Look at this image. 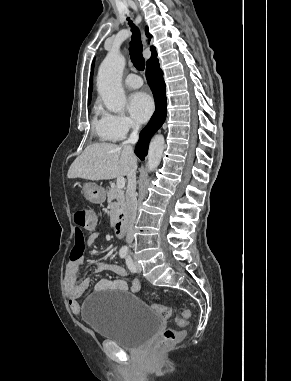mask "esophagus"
I'll list each match as a JSON object with an SVG mask.
<instances>
[{
    "label": "esophagus",
    "instance_id": "obj_1",
    "mask_svg": "<svg viewBox=\"0 0 291 381\" xmlns=\"http://www.w3.org/2000/svg\"><path fill=\"white\" fill-rule=\"evenodd\" d=\"M142 38H143V42H144V44L146 43V36H145V33L143 32L142 33Z\"/></svg>",
    "mask_w": 291,
    "mask_h": 381
}]
</instances>
